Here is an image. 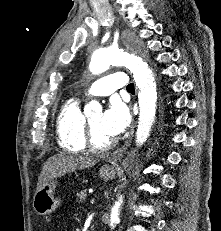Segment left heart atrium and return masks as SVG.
<instances>
[{"mask_svg":"<svg viewBox=\"0 0 221 231\" xmlns=\"http://www.w3.org/2000/svg\"><path fill=\"white\" fill-rule=\"evenodd\" d=\"M128 123V113L121 104H111L102 114L101 127L105 133L112 137H116L124 132Z\"/></svg>","mask_w":221,"mask_h":231,"instance_id":"39dd6f15","label":"left heart atrium"}]
</instances>
